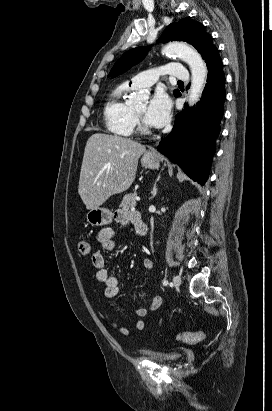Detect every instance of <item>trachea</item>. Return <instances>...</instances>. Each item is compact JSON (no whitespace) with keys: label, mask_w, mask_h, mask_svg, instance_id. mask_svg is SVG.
<instances>
[{"label":"trachea","mask_w":272,"mask_h":411,"mask_svg":"<svg viewBox=\"0 0 272 411\" xmlns=\"http://www.w3.org/2000/svg\"><path fill=\"white\" fill-rule=\"evenodd\" d=\"M178 83H181V84H183V82H182V81H178Z\"/></svg>","instance_id":"trachea-1"}]
</instances>
